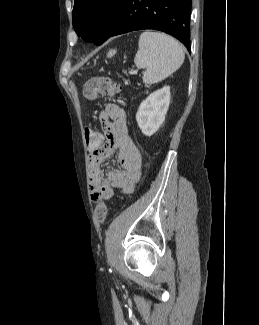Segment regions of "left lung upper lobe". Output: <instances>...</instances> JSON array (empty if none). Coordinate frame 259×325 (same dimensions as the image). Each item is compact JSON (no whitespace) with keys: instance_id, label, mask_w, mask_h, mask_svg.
Masks as SVG:
<instances>
[{"instance_id":"left-lung-upper-lobe-1","label":"left lung upper lobe","mask_w":259,"mask_h":325,"mask_svg":"<svg viewBox=\"0 0 259 325\" xmlns=\"http://www.w3.org/2000/svg\"><path fill=\"white\" fill-rule=\"evenodd\" d=\"M123 0H74V30L84 41L102 44L119 12Z\"/></svg>"}]
</instances>
